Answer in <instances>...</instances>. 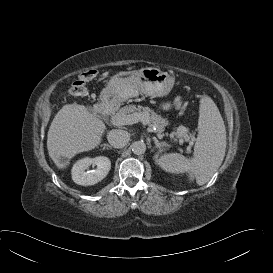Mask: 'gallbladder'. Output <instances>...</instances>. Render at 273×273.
<instances>
[{"label": "gallbladder", "mask_w": 273, "mask_h": 273, "mask_svg": "<svg viewBox=\"0 0 273 273\" xmlns=\"http://www.w3.org/2000/svg\"><path fill=\"white\" fill-rule=\"evenodd\" d=\"M88 110H89V111H92V108H91V107H88Z\"/></svg>", "instance_id": "obj_1"}]
</instances>
